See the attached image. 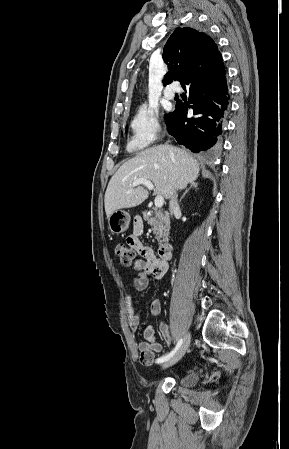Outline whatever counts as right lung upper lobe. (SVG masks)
I'll return each mask as SVG.
<instances>
[{
  "label": "right lung upper lobe",
  "instance_id": "cb5924a9",
  "mask_svg": "<svg viewBox=\"0 0 289 449\" xmlns=\"http://www.w3.org/2000/svg\"><path fill=\"white\" fill-rule=\"evenodd\" d=\"M168 64L164 85L179 80L182 86L208 77L223 64L221 53L211 37L190 27L176 28L164 46Z\"/></svg>",
  "mask_w": 289,
  "mask_h": 449
}]
</instances>
